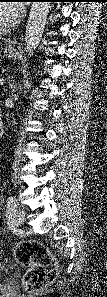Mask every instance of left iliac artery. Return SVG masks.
Instances as JSON below:
<instances>
[{
	"instance_id": "obj_1",
	"label": "left iliac artery",
	"mask_w": 107,
	"mask_h": 297,
	"mask_svg": "<svg viewBox=\"0 0 107 297\" xmlns=\"http://www.w3.org/2000/svg\"><path fill=\"white\" fill-rule=\"evenodd\" d=\"M7 205H8L7 215L12 216L13 214H15L16 208H17L16 199L12 196L9 197L7 200Z\"/></svg>"
}]
</instances>
